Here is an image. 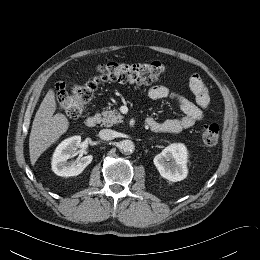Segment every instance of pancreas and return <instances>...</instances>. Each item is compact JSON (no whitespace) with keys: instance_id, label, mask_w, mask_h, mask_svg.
Returning <instances> with one entry per match:
<instances>
[{"instance_id":"pancreas-1","label":"pancreas","mask_w":260,"mask_h":260,"mask_svg":"<svg viewBox=\"0 0 260 260\" xmlns=\"http://www.w3.org/2000/svg\"><path fill=\"white\" fill-rule=\"evenodd\" d=\"M98 122L106 127H111L115 124L123 122V116L116 109L104 110L101 114H97Z\"/></svg>"}]
</instances>
